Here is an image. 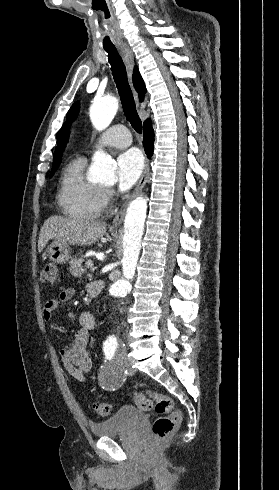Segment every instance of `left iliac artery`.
Returning <instances> with one entry per match:
<instances>
[{"label": "left iliac artery", "mask_w": 279, "mask_h": 490, "mask_svg": "<svg viewBox=\"0 0 279 490\" xmlns=\"http://www.w3.org/2000/svg\"><path fill=\"white\" fill-rule=\"evenodd\" d=\"M116 347H117V344H116V343H112V342H111V343H110V344H109V345L106 347V350H107L108 352H113V353H114V351H115Z\"/></svg>", "instance_id": "1"}]
</instances>
